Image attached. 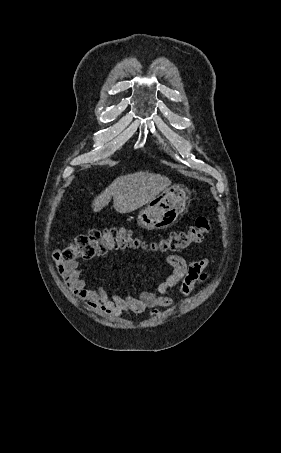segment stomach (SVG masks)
Segmentation results:
<instances>
[{
	"label": "stomach",
	"mask_w": 281,
	"mask_h": 453,
	"mask_svg": "<svg viewBox=\"0 0 281 453\" xmlns=\"http://www.w3.org/2000/svg\"><path fill=\"white\" fill-rule=\"evenodd\" d=\"M188 188L181 184H172L161 190L155 198L149 200L148 204L138 212V224L143 229H169L177 222L180 214L184 212L189 200Z\"/></svg>",
	"instance_id": "1"
}]
</instances>
